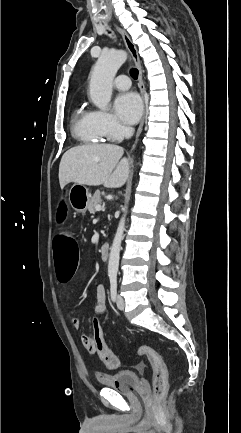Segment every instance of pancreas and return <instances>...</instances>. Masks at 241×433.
<instances>
[{
    "mask_svg": "<svg viewBox=\"0 0 241 433\" xmlns=\"http://www.w3.org/2000/svg\"><path fill=\"white\" fill-rule=\"evenodd\" d=\"M102 199H101V193L100 191H96L94 195L90 198L88 203V211L92 214L96 211V206L100 205Z\"/></svg>",
    "mask_w": 241,
    "mask_h": 433,
    "instance_id": "cf45deb5",
    "label": "pancreas"
}]
</instances>
